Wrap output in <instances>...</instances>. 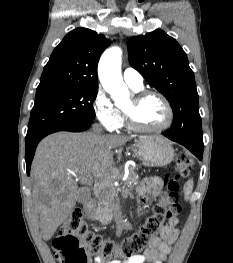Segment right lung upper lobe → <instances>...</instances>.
I'll return each mask as SVG.
<instances>
[{"label": "right lung upper lobe", "mask_w": 233, "mask_h": 263, "mask_svg": "<svg viewBox=\"0 0 233 263\" xmlns=\"http://www.w3.org/2000/svg\"><path fill=\"white\" fill-rule=\"evenodd\" d=\"M109 41L87 28L69 32L45 65L36 95L75 87H98L97 65Z\"/></svg>", "instance_id": "right-lung-upper-lobe-1"}]
</instances>
